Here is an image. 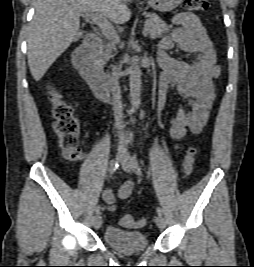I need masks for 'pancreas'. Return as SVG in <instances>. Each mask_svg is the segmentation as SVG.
<instances>
[{
    "label": "pancreas",
    "mask_w": 254,
    "mask_h": 267,
    "mask_svg": "<svg viewBox=\"0 0 254 267\" xmlns=\"http://www.w3.org/2000/svg\"><path fill=\"white\" fill-rule=\"evenodd\" d=\"M146 17L148 19L145 21L144 28L146 29V36L148 35L151 39L161 38L165 33L169 31L167 24L157 15L148 14ZM118 41L115 39H110V42L101 47L98 51V60L105 64L106 61L111 57V51L116 49V44Z\"/></svg>",
    "instance_id": "pancreas-1"
}]
</instances>
